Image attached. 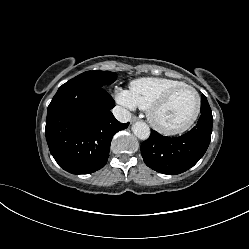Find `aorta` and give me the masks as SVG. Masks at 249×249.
<instances>
[{"label": "aorta", "mask_w": 249, "mask_h": 249, "mask_svg": "<svg viewBox=\"0 0 249 249\" xmlns=\"http://www.w3.org/2000/svg\"><path fill=\"white\" fill-rule=\"evenodd\" d=\"M132 131L136 137L141 140H146L150 136L149 126L142 121H138L133 124Z\"/></svg>", "instance_id": "obj_1"}]
</instances>
